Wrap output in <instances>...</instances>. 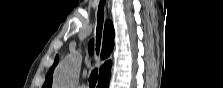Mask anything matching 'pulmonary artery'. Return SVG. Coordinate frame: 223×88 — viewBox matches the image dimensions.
Here are the masks:
<instances>
[{"mask_svg":"<svg viewBox=\"0 0 223 88\" xmlns=\"http://www.w3.org/2000/svg\"><path fill=\"white\" fill-rule=\"evenodd\" d=\"M81 88H87V86H82Z\"/></svg>","mask_w":223,"mask_h":88,"instance_id":"obj_1","label":"pulmonary artery"}]
</instances>
